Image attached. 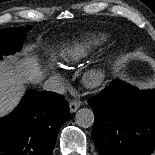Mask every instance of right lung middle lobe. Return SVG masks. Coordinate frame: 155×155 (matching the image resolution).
<instances>
[{"instance_id":"dd1d6c3e","label":"right lung middle lobe","mask_w":155,"mask_h":155,"mask_svg":"<svg viewBox=\"0 0 155 155\" xmlns=\"http://www.w3.org/2000/svg\"><path fill=\"white\" fill-rule=\"evenodd\" d=\"M29 29V26L0 29V59L2 55L13 54L20 50Z\"/></svg>"}]
</instances>
